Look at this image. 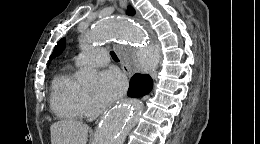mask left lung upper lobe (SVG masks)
<instances>
[{
	"instance_id": "5c2ea615",
	"label": "left lung upper lobe",
	"mask_w": 260,
	"mask_h": 144,
	"mask_svg": "<svg viewBox=\"0 0 260 144\" xmlns=\"http://www.w3.org/2000/svg\"><path fill=\"white\" fill-rule=\"evenodd\" d=\"M134 13H135L134 9L131 6H129L127 10V14L134 15ZM64 47H65V39L62 38L60 41H58L57 45L55 46L54 51L49 58L50 59L49 61H51L53 58L58 56L63 51Z\"/></svg>"
}]
</instances>
